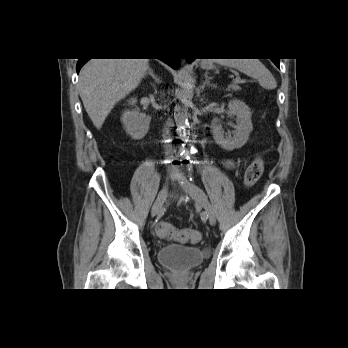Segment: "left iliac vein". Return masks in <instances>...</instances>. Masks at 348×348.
<instances>
[{
  "label": "left iliac vein",
  "instance_id": "obj_1",
  "mask_svg": "<svg viewBox=\"0 0 348 348\" xmlns=\"http://www.w3.org/2000/svg\"><path fill=\"white\" fill-rule=\"evenodd\" d=\"M180 182L183 191L205 209L210 224L214 225L216 223V214L205 192L184 178H180Z\"/></svg>",
  "mask_w": 348,
  "mask_h": 348
}]
</instances>
